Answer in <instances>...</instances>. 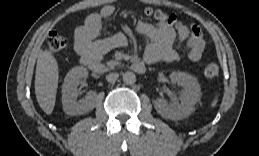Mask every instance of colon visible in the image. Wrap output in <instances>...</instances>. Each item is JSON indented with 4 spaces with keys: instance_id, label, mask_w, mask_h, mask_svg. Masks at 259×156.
I'll return each mask as SVG.
<instances>
[{
    "instance_id": "colon-1",
    "label": "colon",
    "mask_w": 259,
    "mask_h": 156,
    "mask_svg": "<svg viewBox=\"0 0 259 156\" xmlns=\"http://www.w3.org/2000/svg\"><path fill=\"white\" fill-rule=\"evenodd\" d=\"M144 13L153 17L159 22L166 23L172 27L180 28L181 24L177 20L176 15L166 13L160 9L146 8ZM69 45V39L65 35L51 32L47 37V48L51 54H58L64 51ZM219 68L215 63H209L204 69V75L207 78H214L218 75Z\"/></svg>"
}]
</instances>
